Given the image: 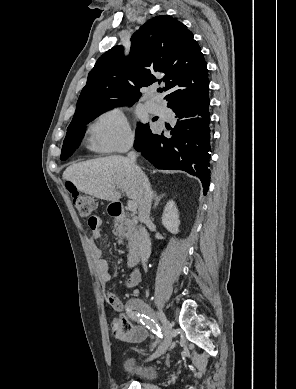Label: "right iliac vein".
<instances>
[{
    "instance_id": "1",
    "label": "right iliac vein",
    "mask_w": 296,
    "mask_h": 389,
    "mask_svg": "<svg viewBox=\"0 0 296 389\" xmlns=\"http://www.w3.org/2000/svg\"><path fill=\"white\" fill-rule=\"evenodd\" d=\"M157 317L162 323V328H163V332H164V340H163L161 346L157 349V351L155 353H153L149 357L148 360H153V359L163 355L167 351V349L171 343V324H170V322L168 321V319L166 318V316L162 310L158 311Z\"/></svg>"
}]
</instances>
